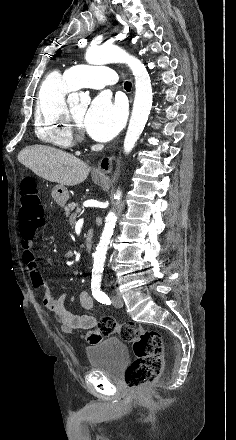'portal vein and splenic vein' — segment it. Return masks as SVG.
Listing matches in <instances>:
<instances>
[{
	"mask_svg": "<svg viewBox=\"0 0 236 440\" xmlns=\"http://www.w3.org/2000/svg\"><path fill=\"white\" fill-rule=\"evenodd\" d=\"M76 212L80 213L81 212V208H77Z\"/></svg>",
	"mask_w": 236,
	"mask_h": 440,
	"instance_id": "18ae733b",
	"label": "portal vein and splenic vein"
}]
</instances>
